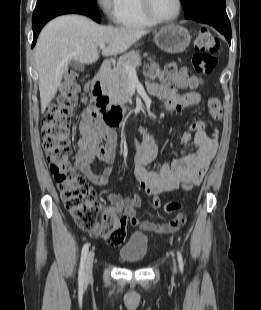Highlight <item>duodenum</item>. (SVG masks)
Wrapping results in <instances>:
<instances>
[{"instance_id":"410a0bca","label":"duodenum","mask_w":261,"mask_h":310,"mask_svg":"<svg viewBox=\"0 0 261 310\" xmlns=\"http://www.w3.org/2000/svg\"><path fill=\"white\" fill-rule=\"evenodd\" d=\"M110 62L104 61L91 80V95L94 108L89 115V120L99 130L111 129L121 126L134 111L126 106L113 104L105 89V77L110 71Z\"/></svg>"}]
</instances>
